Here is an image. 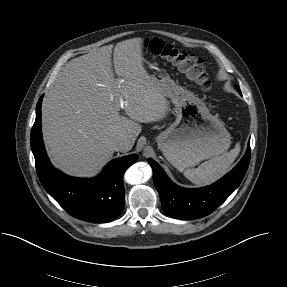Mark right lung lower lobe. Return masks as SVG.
Wrapping results in <instances>:
<instances>
[{
	"mask_svg": "<svg viewBox=\"0 0 287 287\" xmlns=\"http://www.w3.org/2000/svg\"><path fill=\"white\" fill-rule=\"evenodd\" d=\"M41 102L36 106V120L31 130V149L36 170L45 190L73 217L104 223L116 219L124 209L125 171L138 160L130 155L111 161L94 179L69 177L55 169L44 149L41 133Z\"/></svg>",
	"mask_w": 287,
	"mask_h": 287,
	"instance_id": "1",
	"label": "right lung lower lobe"
}]
</instances>
